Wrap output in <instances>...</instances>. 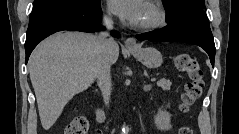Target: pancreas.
Masks as SVG:
<instances>
[{"mask_svg":"<svg viewBox=\"0 0 239 134\" xmlns=\"http://www.w3.org/2000/svg\"><path fill=\"white\" fill-rule=\"evenodd\" d=\"M172 83L166 79H160L157 82V86L161 87L163 90H170Z\"/></svg>","mask_w":239,"mask_h":134,"instance_id":"obj_1","label":"pancreas"}]
</instances>
